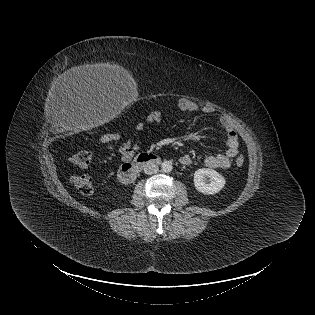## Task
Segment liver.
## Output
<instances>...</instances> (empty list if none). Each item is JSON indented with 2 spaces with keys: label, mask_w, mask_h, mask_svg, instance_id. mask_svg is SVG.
Returning a JSON list of instances; mask_svg holds the SVG:
<instances>
[{
  "label": "liver",
  "mask_w": 315,
  "mask_h": 315,
  "mask_svg": "<svg viewBox=\"0 0 315 315\" xmlns=\"http://www.w3.org/2000/svg\"><path fill=\"white\" fill-rule=\"evenodd\" d=\"M61 79L69 84L86 83H109V82H132L133 78L129 71L118 64L96 63L94 65L76 66L64 74Z\"/></svg>",
  "instance_id": "6515ba94"
}]
</instances>
